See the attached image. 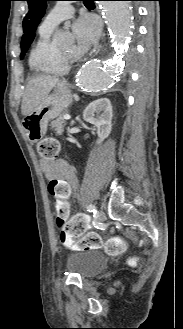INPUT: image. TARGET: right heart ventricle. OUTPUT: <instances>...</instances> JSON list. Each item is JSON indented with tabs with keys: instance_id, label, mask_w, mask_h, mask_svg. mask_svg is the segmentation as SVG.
Instances as JSON below:
<instances>
[{
	"instance_id": "1",
	"label": "right heart ventricle",
	"mask_w": 183,
	"mask_h": 329,
	"mask_svg": "<svg viewBox=\"0 0 183 329\" xmlns=\"http://www.w3.org/2000/svg\"><path fill=\"white\" fill-rule=\"evenodd\" d=\"M51 33L39 31V38L30 51L29 66L40 74H63L66 71L60 65L59 50L51 41Z\"/></svg>"
}]
</instances>
